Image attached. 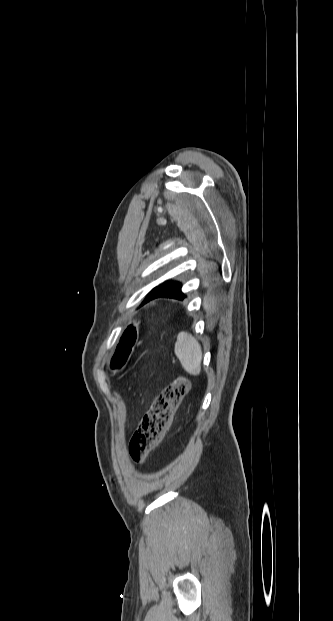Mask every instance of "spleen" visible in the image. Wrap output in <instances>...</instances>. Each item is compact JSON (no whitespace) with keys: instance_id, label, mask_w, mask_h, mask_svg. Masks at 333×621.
I'll return each mask as SVG.
<instances>
[{"instance_id":"obj_1","label":"spleen","mask_w":333,"mask_h":621,"mask_svg":"<svg viewBox=\"0 0 333 621\" xmlns=\"http://www.w3.org/2000/svg\"><path fill=\"white\" fill-rule=\"evenodd\" d=\"M174 352L186 372L194 376L200 374L202 349L195 338L187 332L179 334Z\"/></svg>"}]
</instances>
